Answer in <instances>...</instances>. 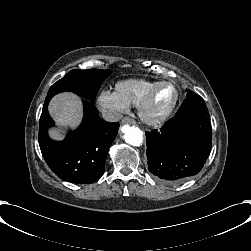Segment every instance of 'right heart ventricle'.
Returning <instances> with one entry per match:
<instances>
[{
    "mask_svg": "<svg viewBox=\"0 0 251 251\" xmlns=\"http://www.w3.org/2000/svg\"><path fill=\"white\" fill-rule=\"evenodd\" d=\"M158 79L152 77L128 78L115 84L116 95L127 105L138 107L149 88Z\"/></svg>",
    "mask_w": 251,
    "mask_h": 251,
    "instance_id": "obj_1",
    "label": "right heart ventricle"
}]
</instances>
